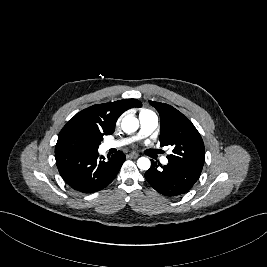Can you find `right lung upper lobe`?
<instances>
[{
    "label": "right lung upper lobe",
    "mask_w": 267,
    "mask_h": 267,
    "mask_svg": "<svg viewBox=\"0 0 267 267\" xmlns=\"http://www.w3.org/2000/svg\"><path fill=\"white\" fill-rule=\"evenodd\" d=\"M140 106L141 102L137 99L96 104L77 113L61 131L80 130L102 136L110 135L114 132L116 121L123 112Z\"/></svg>",
    "instance_id": "cb5924a9"
}]
</instances>
